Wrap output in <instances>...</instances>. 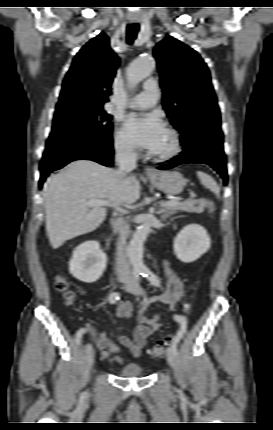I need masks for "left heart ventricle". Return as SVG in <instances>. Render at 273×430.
Wrapping results in <instances>:
<instances>
[{
	"label": "left heart ventricle",
	"instance_id": "1",
	"mask_svg": "<svg viewBox=\"0 0 273 430\" xmlns=\"http://www.w3.org/2000/svg\"><path fill=\"white\" fill-rule=\"evenodd\" d=\"M171 147V138L169 134L166 132L159 147L154 151V153H165Z\"/></svg>",
	"mask_w": 273,
	"mask_h": 430
}]
</instances>
